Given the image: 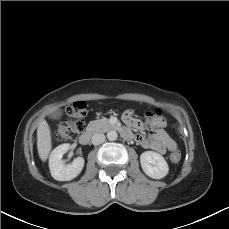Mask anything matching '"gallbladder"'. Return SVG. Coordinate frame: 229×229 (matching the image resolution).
<instances>
[{
    "label": "gallbladder",
    "mask_w": 229,
    "mask_h": 229,
    "mask_svg": "<svg viewBox=\"0 0 229 229\" xmlns=\"http://www.w3.org/2000/svg\"><path fill=\"white\" fill-rule=\"evenodd\" d=\"M62 116V111L61 110H56L53 113H51L50 117L53 119H58Z\"/></svg>",
    "instance_id": "1"
}]
</instances>
